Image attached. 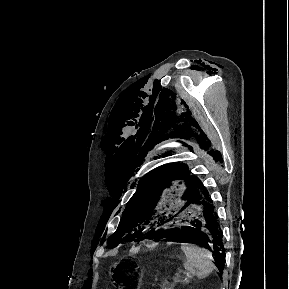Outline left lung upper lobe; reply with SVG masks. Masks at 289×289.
Here are the masks:
<instances>
[{"label":"left lung upper lobe","instance_id":"5c2ea615","mask_svg":"<svg viewBox=\"0 0 289 289\" xmlns=\"http://www.w3.org/2000/svg\"><path fill=\"white\" fill-rule=\"evenodd\" d=\"M200 184L196 176L189 175L185 164L163 165L149 172L139 181L117 230L108 239L109 246L147 238L165 223L179 193L185 187Z\"/></svg>","mask_w":289,"mask_h":289}]
</instances>
